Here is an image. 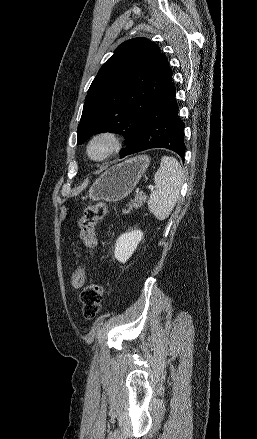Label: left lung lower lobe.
Instances as JSON below:
<instances>
[{
    "mask_svg": "<svg viewBox=\"0 0 257 439\" xmlns=\"http://www.w3.org/2000/svg\"><path fill=\"white\" fill-rule=\"evenodd\" d=\"M177 114L175 89L171 81L146 113L139 127L137 143L126 155L151 148H166L176 152L184 160L185 125Z\"/></svg>",
    "mask_w": 257,
    "mask_h": 439,
    "instance_id": "0a47b994",
    "label": "left lung lower lobe"
}]
</instances>
